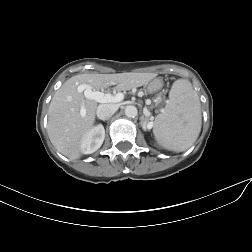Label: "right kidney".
Segmentation results:
<instances>
[{
    "mask_svg": "<svg viewBox=\"0 0 252 252\" xmlns=\"http://www.w3.org/2000/svg\"><path fill=\"white\" fill-rule=\"evenodd\" d=\"M105 139V129L99 124L93 127L83 138L80 150L83 154H91L97 151Z\"/></svg>",
    "mask_w": 252,
    "mask_h": 252,
    "instance_id": "right-kidney-1",
    "label": "right kidney"
}]
</instances>
